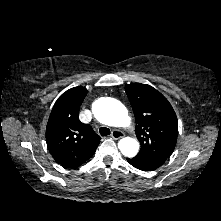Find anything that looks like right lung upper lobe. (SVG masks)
<instances>
[{"label": "right lung upper lobe", "mask_w": 221, "mask_h": 221, "mask_svg": "<svg viewBox=\"0 0 221 221\" xmlns=\"http://www.w3.org/2000/svg\"><path fill=\"white\" fill-rule=\"evenodd\" d=\"M87 94L84 87L64 92L56 101L46 128V142L54 160L68 168L82 165L95 153L100 137L78 118Z\"/></svg>", "instance_id": "1"}]
</instances>
